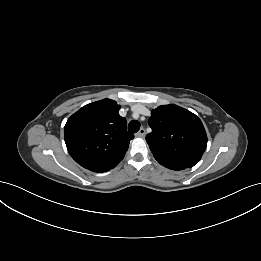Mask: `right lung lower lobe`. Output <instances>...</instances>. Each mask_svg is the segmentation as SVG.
Masks as SVG:
<instances>
[{
	"label": "right lung lower lobe",
	"mask_w": 261,
	"mask_h": 261,
	"mask_svg": "<svg viewBox=\"0 0 261 261\" xmlns=\"http://www.w3.org/2000/svg\"><path fill=\"white\" fill-rule=\"evenodd\" d=\"M115 166L104 167V168H90L89 170H91L93 172H106V171H109L110 169L114 168Z\"/></svg>",
	"instance_id": "obj_1"
}]
</instances>
